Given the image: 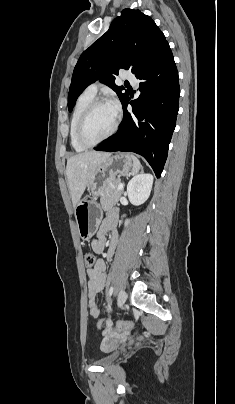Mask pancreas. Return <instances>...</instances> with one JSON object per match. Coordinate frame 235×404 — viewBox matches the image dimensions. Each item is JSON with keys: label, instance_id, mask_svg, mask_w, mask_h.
<instances>
[{"label": "pancreas", "instance_id": "cf45deb5", "mask_svg": "<svg viewBox=\"0 0 235 404\" xmlns=\"http://www.w3.org/2000/svg\"><path fill=\"white\" fill-rule=\"evenodd\" d=\"M121 184L120 179H114L107 182L101 192L100 203L103 208H107L113 204H116L123 192V190H118V186Z\"/></svg>", "mask_w": 235, "mask_h": 404}]
</instances>
